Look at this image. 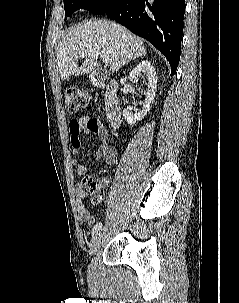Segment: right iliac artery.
Wrapping results in <instances>:
<instances>
[{"label": "right iliac artery", "mask_w": 239, "mask_h": 303, "mask_svg": "<svg viewBox=\"0 0 239 303\" xmlns=\"http://www.w3.org/2000/svg\"><path fill=\"white\" fill-rule=\"evenodd\" d=\"M102 227V223L99 222L96 225H94L93 229H92V235L96 234L98 231H100Z\"/></svg>", "instance_id": "82829eb1"}]
</instances>
